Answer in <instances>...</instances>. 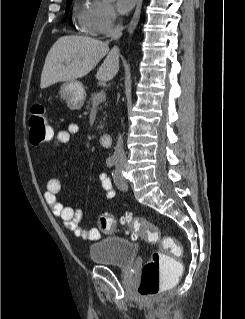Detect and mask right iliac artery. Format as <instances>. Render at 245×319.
Segmentation results:
<instances>
[{
  "label": "right iliac artery",
  "instance_id": "1",
  "mask_svg": "<svg viewBox=\"0 0 245 319\" xmlns=\"http://www.w3.org/2000/svg\"><path fill=\"white\" fill-rule=\"evenodd\" d=\"M106 164H107L108 167H112L115 164V159L113 157H109L106 160Z\"/></svg>",
  "mask_w": 245,
  "mask_h": 319
}]
</instances>
